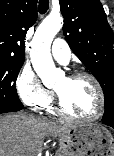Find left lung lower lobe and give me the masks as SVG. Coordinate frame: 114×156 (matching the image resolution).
Returning <instances> with one entry per match:
<instances>
[{
  "label": "left lung lower lobe",
  "instance_id": "left-lung-lower-lobe-1",
  "mask_svg": "<svg viewBox=\"0 0 114 156\" xmlns=\"http://www.w3.org/2000/svg\"><path fill=\"white\" fill-rule=\"evenodd\" d=\"M103 123L114 128V123H105V122H103Z\"/></svg>",
  "mask_w": 114,
  "mask_h": 156
}]
</instances>
